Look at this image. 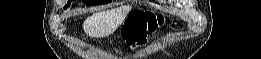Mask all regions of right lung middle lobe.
<instances>
[{
	"mask_svg": "<svg viewBox=\"0 0 261 59\" xmlns=\"http://www.w3.org/2000/svg\"><path fill=\"white\" fill-rule=\"evenodd\" d=\"M83 2H85L88 5H97V4H106L109 1L107 0H83ZM71 3V1H68L67 5L69 6ZM65 8H67V6H65Z\"/></svg>",
	"mask_w": 261,
	"mask_h": 59,
	"instance_id": "1",
	"label": "right lung middle lobe"
}]
</instances>
